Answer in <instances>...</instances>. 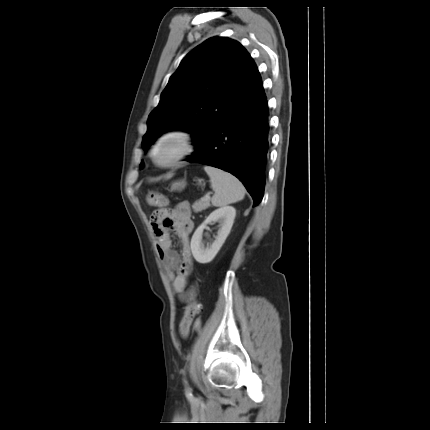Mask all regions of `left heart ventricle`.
<instances>
[{"mask_svg": "<svg viewBox=\"0 0 430 430\" xmlns=\"http://www.w3.org/2000/svg\"><path fill=\"white\" fill-rule=\"evenodd\" d=\"M179 149V144L176 140L167 141L159 151V158L162 161L167 160L173 154H175Z\"/></svg>", "mask_w": 430, "mask_h": 430, "instance_id": "left-heart-ventricle-1", "label": "left heart ventricle"}]
</instances>
